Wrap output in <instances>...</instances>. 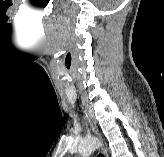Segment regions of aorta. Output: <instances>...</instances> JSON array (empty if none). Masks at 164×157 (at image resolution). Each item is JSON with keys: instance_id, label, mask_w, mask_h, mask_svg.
<instances>
[{"instance_id": "1", "label": "aorta", "mask_w": 164, "mask_h": 157, "mask_svg": "<svg viewBox=\"0 0 164 157\" xmlns=\"http://www.w3.org/2000/svg\"><path fill=\"white\" fill-rule=\"evenodd\" d=\"M100 142L96 139L86 140L79 145V154L81 157H89L96 149L100 147Z\"/></svg>"}]
</instances>
